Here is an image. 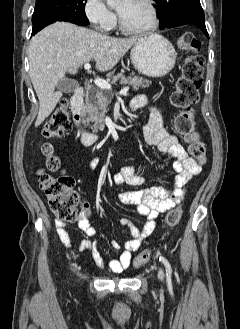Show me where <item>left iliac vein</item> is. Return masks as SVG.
Returning a JSON list of instances; mask_svg holds the SVG:
<instances>
[{
	"label": "left iliac vein",
	"instance_id": "1",
	"mask_svg": "<svg viewBox=\"0 0 240 329\" xmlns=\"http://www.w3.org/2000/svg\"><path fill=\"white\" fill-rule=\"evenodd\" d=\"M158 277H159L160 280L164 279V272L162 271V269H159Z\"/></svg>",
	"mask_w": 240,
	"mask_h": 329
}]
</instances>
